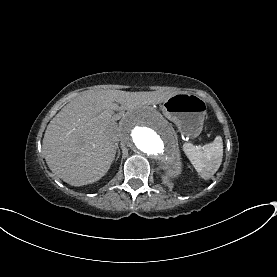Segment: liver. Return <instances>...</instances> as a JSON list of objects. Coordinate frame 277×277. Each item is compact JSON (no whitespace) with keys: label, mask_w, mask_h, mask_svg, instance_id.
I'll use <instances>...</instances> for the list:
<instances>
[{"label":"liver","mask_w":277,"mask_h":277,"mask_svg":"<svg viewBox=\"0 0 277 277\" xmlns=\"http://www.w3.org/2000/svg\"><path fill=\"white\" fill-rule=\"evenodd\" d=\"M171 93L121 90L86 91L64 106L50 121L43 138V153L50 170L72 186L101 179L109 170L122 140L113 110L133 111L159 104Z\"/></svg>","instance_id":"6515ba94"}]
</instances>
